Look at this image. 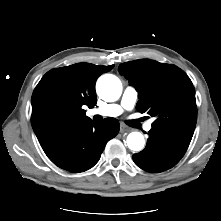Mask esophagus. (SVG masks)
Segmentation results:
<instances>
[{"mask_svg": "<svg viewBox=\"0 0 221 221\" xmlns=\"http://www.w3.org/2000/svg\"><path fill=\"white\" fill-rule=\"evenodd\" d=\"M130 131V128H128L127 126L121 124L120 125V132L121 133H124V132H129Z\"/></svg>", "mask_w": 221, "mask_h": 221, "instance_id": "34e87169", "label": "esophagus"}]
</instances>
